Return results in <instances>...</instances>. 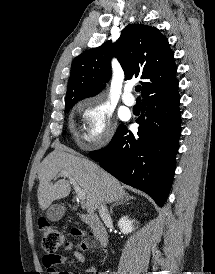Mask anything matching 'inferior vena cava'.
I'll use <instances>...</instances> for the list:
<instances>
[{
  "label": "inferior vena cava",
  "instance_id": "obj_1",
  "mask_svg": "<svg viewBox=\"0 0 215 274\" xmlns=\"http://www.w3.org/2000/svg\"><path fill=\"white\" fill-rule=\"evenodd\" d=\"M98 209H99V214L102 218L109 217L108 209L104 202L100 203Z\"/></svg>",
  "mask_w": 215,
  "mask_h": 274
}]
</instances>
